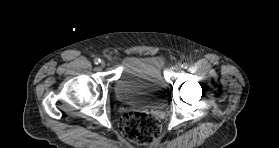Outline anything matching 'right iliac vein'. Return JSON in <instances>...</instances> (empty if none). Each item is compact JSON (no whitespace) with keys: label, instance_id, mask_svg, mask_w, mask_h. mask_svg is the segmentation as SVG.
I'll use <instances>...</instances> for the list:
<instances>
[{"label":"right iliac vein","instance_id":"63e3f726","mask_svg":"<svg viewBox=\"0 0 279 148\" xmlns=\"http://www.w3.org/2000/svg\"><path fill=\"white\" fill-rule=\"evenodd\" d=\"M100 65H101V67H105V66H106V63H105L104 61H102V62L100 63Z\"/></svg>","mask_w":279,"mask_h":148}]
</instances>
